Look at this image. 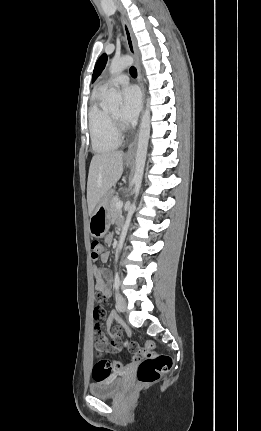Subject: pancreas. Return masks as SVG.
I'll return each instance as SVG.
<instances>
[{
  "label": "pancreas",
  "mask_w": 261,
  "mask_h": 431,
  "mask_svg": "<svg viewBox=\"0 0 261 431\" xmlns=\"http://www.w3.org/2000/svg\"><path fill=\"white\" fill-rule=\"evenodd\" d=\"M118 196L112 197L110 200V216L115 219L119 214H121V210L116 208V203L119 202Z\"/></svg>",
  "instance_id": "obj_1"
}]
</instances>
